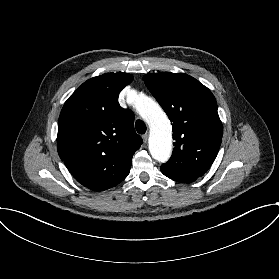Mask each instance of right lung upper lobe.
<instances>
[{"instance_id": "1", "label": "right lung upper lobe", "mask_w": 279, "mask_h": 279, "mask_svg": "<svg viewBox=\"0 0 279 279\" xmlns=\"http://www.w3.org/2000/svg\"><path fill=\"white\" fill-rule=\"evenodd\" d=\"M132 79L122 72L91 78L62 108L59 156L73 177L93 191L122 182L129 174L133 154L143 143L133 128V113L118 103L120 91Z\"/></svg>"}]
</instances>
